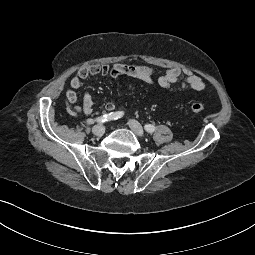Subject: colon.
I'll list each match as a JSON object with an SVG mask.
<instances>
[{"instance_id":"obj_1","label":"colon","mask_w":255,"mask_h":255,"mask_svg":"<svg viewBox=\"0 0 255 255\" xmlns=\"http://www.w3.org/2000/svg\"><path fill=\"white\" fill-rule=\"evenodd\" d=\"M190 108L194 113H202L205 111V105L199 101L192 102Z\"/></svg>"}]
</instances>
